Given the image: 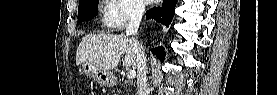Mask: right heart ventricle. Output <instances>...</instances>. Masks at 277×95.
I'll use <instances>...</instances> for the list:
<instances>
[{
    "label": "right heart ventricle",
    "mask_w": 277,
    "mask_h": 95,
    "mask_svg": "<svg viewBox=\"0 0 277 95\" xmlns=\"http://www.w3.org/2000/svg\"><path fill=\"white\" fill-rule=\"evenodd\" d=\"M104 23L107 25V16L104 17Z\"/></svg>",
    "instance_id": "1"
}]
</instances>
